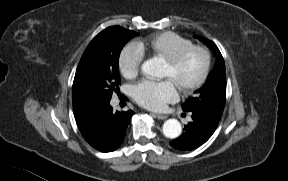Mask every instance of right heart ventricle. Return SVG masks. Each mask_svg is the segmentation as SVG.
Listing matches in <instances>:
<instances>
[{
	"mask_svg": "<svg viewBox=\"0 0 288 181\" xmlns=\"http://www.w3.org/2000/svg\"><path fill=\"white\" fill-rule=\"evenodd\" d=\"M191 45L193 43L190 39L171 31L155 34L137 43V47L143 54L162 60L170 58L178 51Z\"/></svg>",
	"mask_w": 288,
	"mask_h": 181,
	"instance_id": "1",
	"label": "right heart ventricle"
}]
</instances>
